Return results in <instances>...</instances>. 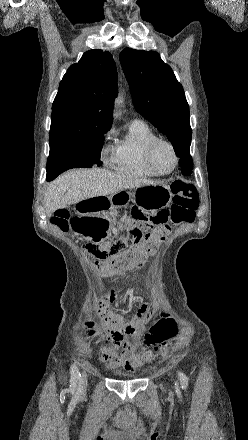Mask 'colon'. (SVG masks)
I'll list each match as a JSON object with an SVG mask.
<instances>
[{"label": "colon", "instance_id": "1", "mask_svg": "<svg viewBox=\"0 0 248 440\" xmlns=\"http://www.w3.org/2000/svg\"><path fill=\"white\" fill-rule=\"evenodd\" d=\"M174 194L173 205L154 214L148 213L143 205L136 206L131 216L125 220L129 226L126 243L136 248L132 251H123L124 243L117 242L108 249L100 250L87 247L100 260L98 267L105 276L123 271L134 265H140L160 242L170 233L171 226L192 220L197 207V193L193 185L176 180L171 184ZM70 215L65 210H58L51 219V223L66 231L70 225ZM176 332L174 323L162 318L152 327L147 335L148 341L160 342L172 337Z\"/></svg>", "mask_w": 248, "mask_h": 440}]
</instances>
